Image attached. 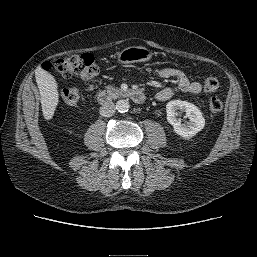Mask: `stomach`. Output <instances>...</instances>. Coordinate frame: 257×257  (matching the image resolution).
<instances>
[{
	"label": "stomach",
	"instance_id": "stomach-1",
	"mask_svg": "<svg viewBox=\"0 0 257 257\" xmlns=\"http://www.w3.org/2000/svg\"><path fill=\"white\" fill-rule=\"evenodd\" d=\"M152 55V51L145 47L131 46L117 53V59L120 63L131 64L149 61L152 58Z\"/></svg>",
	"mask_w": 257,
	"mask_h": 257
}]
</instances>
